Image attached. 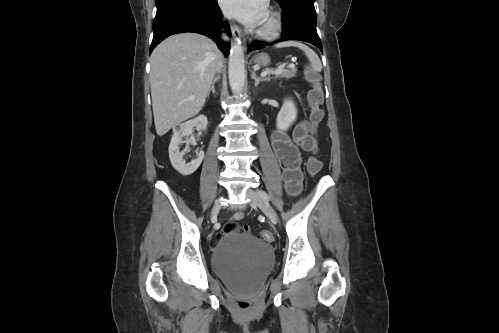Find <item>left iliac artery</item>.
Returning <instances> with one entry per match:
<instances>
[{"label":"left iliac artery","instance_id":"obj_1","mask_svg":"<svg viewBox=\"0 0 499 333\" xmlns=\"http://www.w3.org/2000/svg\"><path fill=\"white\" fill-rule=\"evenodd\" d=\"M258 193H259V195H260L263 199H265V200H269V196L267 195V193H266V192H264V191H260V190H259V191H258Z\"/></svg>","mask_w":499,"mask_h":333}]
</instances>
